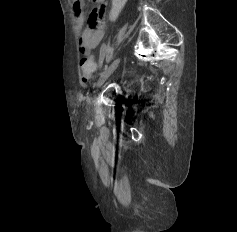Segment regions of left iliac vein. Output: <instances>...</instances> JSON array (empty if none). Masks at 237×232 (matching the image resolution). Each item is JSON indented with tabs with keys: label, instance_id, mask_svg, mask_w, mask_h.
Masks as SVG:
<instances>
[{
	"label": "left iliac vein",
	"instance_id": "4c4485c4",
	"mask_svg": "<svg viewBox=\"0 0 237 232\" xmlns=\"http://www.w3.org/2000/svg\"><path fill=\"white\" fill-rule=\"evenodd\" d=\"M120 60L121 58H117L116 60H114L112 64L101 73L97 82V87L103 85V83L108 79V77L116 70L120 63Z\"/></svg>",
	"mask_w": 237,
	"mask_h": 232
}]
</instances>
